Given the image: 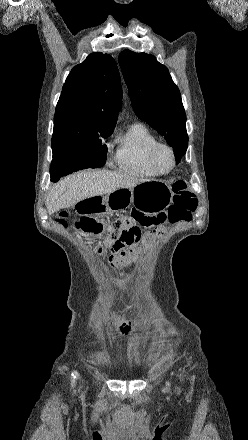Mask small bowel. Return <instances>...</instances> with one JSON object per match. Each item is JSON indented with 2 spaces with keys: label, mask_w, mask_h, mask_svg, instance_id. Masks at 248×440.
Listing matches in <instances>:
<instances>
[{
  "label": "small bowel",
  "mask_w": 248,
  "mask_h": 440,
  "mask_svg": "<svg viewBox=\"0 0 248 440\" xmlns=\"http://www.w3.org/2000/svg\"><path fill=\"white\" fill-rule=\"evenodd\" d=\"M109 318L115 328L116 334L118 336H125L135 331L139 330L141 327V322L138 320L127 321L115 314H110Z\"/></svg>",
  "instance_id": "small-bowel-1"
}]
</instances>
